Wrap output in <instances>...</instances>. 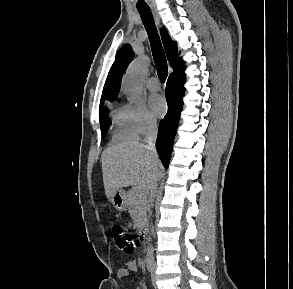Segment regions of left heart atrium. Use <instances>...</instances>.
Returning <instances> with one entry per match:
<instances>
[{"label": "left heart atrium", "instance_id": "left-heart-atrium-1", "mask_svg": "<svg viewBox=\"0 0 293 289\" xmlns=\"http://www.w3.org/2000/svg\"><path fill=\"white\" fill-rule=\"evenodd\" d=\"M148 103L153 116L162 117L165 114L167 105L163 97L160 95L154 94L150 96Z\"/></svg>", "mask_w": 293, "mask_h": 289}]
</instances>
